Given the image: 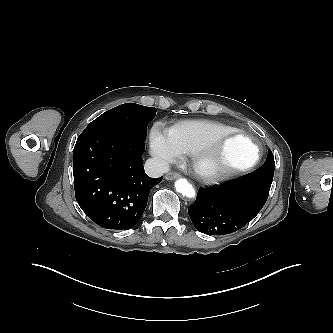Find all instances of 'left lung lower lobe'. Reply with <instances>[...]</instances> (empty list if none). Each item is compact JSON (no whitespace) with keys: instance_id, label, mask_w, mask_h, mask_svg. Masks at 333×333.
Listing matches in <instances>:
<instances>
[{"instance_id":"0a47b994","label":"left lung lower lobe","mask_w":333,"mask_h":333,"mask_svg":"<svg viewBox=\"0 0 333 333\" xmlns=\"http://www.w3.org/2000/svg\"><path fill=\"white\" fill-rule=\"evenodd\" d=\"M274 169L260 167L237 179L201 188L188 213L200 232L225 235L249 223L267 201Z\"/></svg>"}]
</instances>
